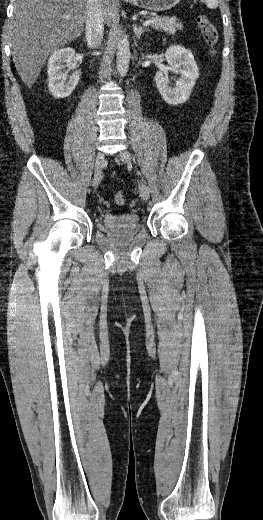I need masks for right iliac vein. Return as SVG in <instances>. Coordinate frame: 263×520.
<instances>
[{
    "label": "right iliac vein",
    "mask_w": 263,
    "mask_h": 520,
    "mask_svg": "<svg viewBox=\"0 0 263 520\" xmlns=\"http://www.w3.org/2000/svg\"><path fill=\"white\" fill-rule=\"evenodd\" d=\"M104 165V154L99 152L96 155L95 159V167H94V176H93V188L96 189L101 181L102 168Z\"/></svg>",
    "instance_id": "1"
}]
</instances>
